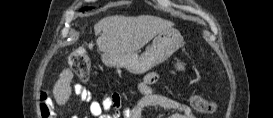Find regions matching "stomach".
I'll return each instance as SVG.
<instances>
[{
  "instance_id": "0dacf381",
  "label": "stomach",
  "mask_w": 273,
  "mask_h": 118,
  "mask_svg": "<svg viewBox=\"0 0 273 118\" xmlns=\"http://www.w3.org/2000/svg\"><path fill=\"white\" fill-rule=\"evenodd\" d=\"M183 43V37L175 28H169L157 34L151 46L139 55L136 52L102 55L103 63L108 67L125 68L133 74H143L168 60Z\"/></svg>"
}]
</instances>
